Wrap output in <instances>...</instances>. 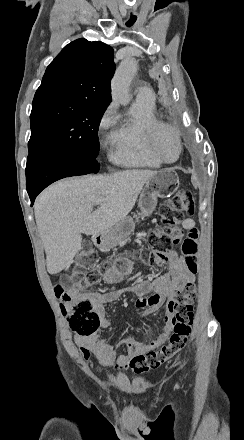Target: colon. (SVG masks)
<instances>
[{
	"mask_svg": "<svg viewBox=\"0 0 244 440\" xmlns=\"http://www.w3.org/2000/svg\"><path fill=\"white\" fill-rule=\"evenodd\" d=\"M194 209V195L191 191L183 189L174 200L164 204L160 208L159 223L156 229L149 233L147 246L151 249L135 250L133 256L143 262L160 269L168 262V251L174 246L181 244V253L187 266L192 271H197L199 234L195 226H189L187 235L182 237L180 225L187 216H192ZM122 257L115 254L113 257L98 263L95 247L90 241H85L83 252L80 255L79 264L71 262L69 269L72 277L82 286H97L100 281L99 270H104ZM86 273L85 278H83ZM61 282L54 285V295L69 319H99V310H92L90 304H81V300L72 303L71 296L66 288L71 281L69 275H62ZM197 290L193 285L183 286L175 294L174 300L168 305V311L172 315L171 322L173 331L169 341L157 351H149L132 358L130 367L135 374H142L163 366L168 360L185 349L189 335L191 334L194 321L193 301L196 299Z\"/></svg>",
	"mask_w": 244,
	"mask_h": 440,
	"instance_id": "1",
	"label": "colon"
}]
</instances>
